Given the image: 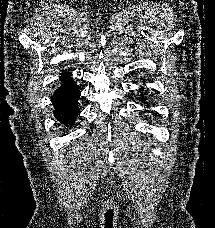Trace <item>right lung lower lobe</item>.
Returning a JSON list of instances; mask_svg holds the SVG:
<instances>
[{"label":"right lung lower lobe","instance_id":"1","mask_svg":"<svg viewBox=\"0 0 215 228\" xmlns=\"http://www.w3.org/2000/svg\"><path fill=\"white\" fill-rule=\"evenodd\" d=\"M62 85L52 96V104L55 108L54 115L65 126L74 124L76 116L80 113L78 99L80 91L69 76H61Z\"/></svg>","mask_w":215,"mask_h":228}]
</instances>
